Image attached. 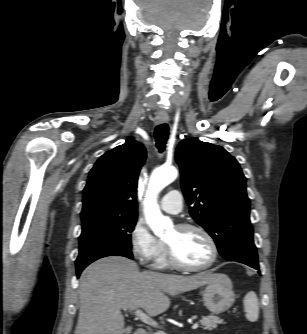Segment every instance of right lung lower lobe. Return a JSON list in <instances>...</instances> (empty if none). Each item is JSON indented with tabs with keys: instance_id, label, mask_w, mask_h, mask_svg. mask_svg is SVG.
<instances>
[{
	"instance_id": "obj_1",
	"label": "right lung lower lobe",
	"mask_w": 307,
	"mask_h": 334,
	"mask_svg": "<svg viewBox=\"0 0 307 334\" xmlns=\"http://www.w3.org/2000/svg\"><path fill=\"white\" fill-rule=\"evenodd\" d=\"M83 269H80V270H77V277L80 276L81 272H82Z\"/></svg>"
}]
</instances>
